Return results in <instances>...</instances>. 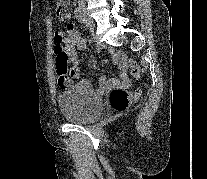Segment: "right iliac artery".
Returning <instances> with one entry per match:
<instances>
[{
  "label": "right iliac artery",
  "mask_w": 207,
  "mask_h": 179,
  "mask_svg": "<svg viewBox=\"0 0 207 179\" xmlns=\"http://www.w3.org/2000/svg\"><path fill=\"white\" fill-rule=\"evenodd\" d=\"M74 13H75V16H76L77 20L80 23H84L85 22V17H84V14H83V12H82L80 7L76 8Z\"/></svg>",
  "instance_id": "1"
}]
</instances>
